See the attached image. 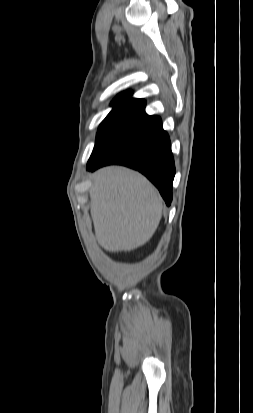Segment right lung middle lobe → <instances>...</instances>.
Segmentation results:
<instances>
[{"label":"right lung middle lobe","instance_id":"right-lung-middle-lobe-1","mask_svg":"<svg viewBox=\"0 0 253 413\" xmlns=\"http://www.w3.org/2000/svg\"><path fill=\"white\" fill-rule=\"evenodd\" d=\"M161 124L158 117L133 112H110L99 126L96 143L87 169L152 132Z\"/></svg>","mask_w":253,"mask_h":413}]
</instances>
